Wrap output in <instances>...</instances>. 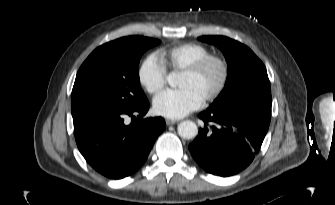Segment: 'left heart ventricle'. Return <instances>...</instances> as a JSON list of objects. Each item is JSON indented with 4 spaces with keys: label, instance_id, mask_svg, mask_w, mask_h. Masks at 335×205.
I'll list each match as a JSON object with an SVG mask.
<instances>
[{
    "label": "left heart ventricle",
    "instance_id": "left-heart-ventricle-1",
    "mask_svg": "<svg viewBox=\"0 0 335 205\" xmlns=\"http://www.w3.org/2000/svg\"><path fill=\"white\" fill-rule=\"evenodd\" d=\"M220 74L219 66L212 64L198 76L182 73L179 85L181 88L191 87L204 97L216 88Z\"/></svg>",
    "mask_w": 335,
    "mask_h": 205
}]
</instances>
